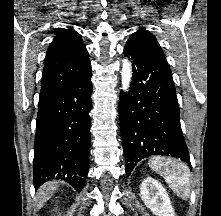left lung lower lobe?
<instances>
[{
	"instance_id": "obj_1",
	"label": "left lung lower lobe",
	"mask_w": 221,
	"mask_h": 216,
	"mask_svg": "<svg viewBox=\"0 0 221 216\" xmlns=\"http://www.w3.org/2000/svg\"><path fill=\"white\" fill-rule=\"evenodd\" d=\"M132 59V81L119 99L120 127L126 174L152 155L180 158L191 166L180 125V110L171 70L164 57L126 43Z\"/></svg>"
}]
</instances>
